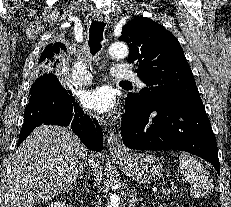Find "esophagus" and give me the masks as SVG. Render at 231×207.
Segmentation results:
<instances>
[{
  "instance_id": "1",
  "label": "esophagus",
  "mask_w": 231,
  "mask_h": 207,
  "mask_svg": "<svg viewBox=\"0 0 231 207\" xmlns=\"http://www.w3.org/2000/svg\"><path fill=\"white\" fill-rule=\"evenodd\" d=\"M109 16L107 15H98L97 20L101 22H109ZM107 147L109 151L114 154H120L126 151L125 146L122 144L117 133L113 129L107 130Z\"/></svg>"
}]
</instances>
